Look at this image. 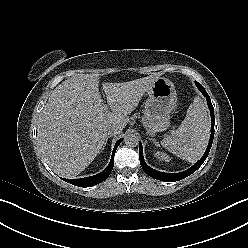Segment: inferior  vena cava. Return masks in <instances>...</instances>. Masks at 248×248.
I'll return each instance as SVG.
<instances>
[{
	"instance_id": "obj_1",
	"label": "inferior vena cava",
	"mask_w": 248,
	"mask_h": 248,
	"mask_svg": "<svg viewBox=\"0 0 248 248\" xmlns=\"http://www.w3.org/2000/svg\"><path fill=\"white\" fill-rule=\"evenodd\" d=\"M121 132V129L116 124H110L106 127L108 136H115Z\"/></svg>"
}]
</instances>
